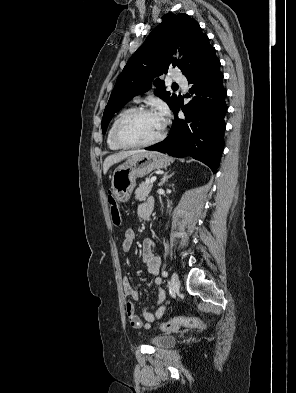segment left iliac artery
<instances>
[{
    "label": "left iliac artery",
    "instance_id": "44dca946",
    "mask_svg": "<svg viewBox=\"0 0 296 393\" xmlns=\"http://www.w3.org/2000/svg\"><path fill=\"white\" fill-rule=\"evenodd\" d=\"M162 275H163L164 277H167V276H168V272H167V271H163V272H162Z\"/></svg>",
    "mask_w": 296,
    "mask_h": 393
}]
</instances>
